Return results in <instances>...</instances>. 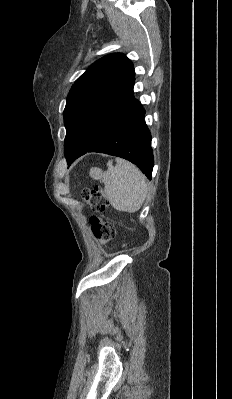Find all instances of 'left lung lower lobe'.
<instances>
[{"instance_id": "0a47b994", "label": "left lung lower lobe", "mask_w": 232, "mask_h": 399, "mask_svg": "<svg viewBox=\"0 0 232 399\" xmlns=\"http://www.w3.org/2000/svg\"><path fill=\"white\" fill-rule=\"evenodd\" d=\"M145 110L136 99L119 124L88 152L119 156L137 165L151 179L154 157L151 134L144 120Z\"/></svg>"}]
</instances>
